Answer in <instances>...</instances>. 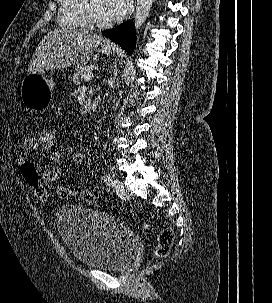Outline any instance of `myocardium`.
<instances>
[{"instance_id": "1", "label": "myocardium", "mask_w": 272, "mask_h": 303, "mask_svg": "<svg viewBox=\"0 0 272 303\" xmlns=\"http://www.w3.org/2000/svg\"><path fill=\"white\" fill-rule=\"evenodd\" d=\"M92 2V0H84L83 3V13L88 24L96 28H105L109 26L108 21L100 20L95 15Z\"/></svg>"}]
</instances>
